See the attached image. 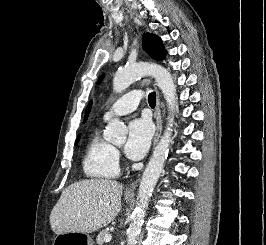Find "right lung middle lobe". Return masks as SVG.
<instances>
[{
    "label": "right lung middle lobe",
    "mask_w": 266,
    "mask_h": 245,
    "mask_svg": "<svg viewBox=\"0 0 266 245\" xmlns=\"http://www.w3.org/2000/svg\"><path fill=\"white\" fill-rule=\"evenodd\" d=\"M79 138H80V135H78L75 145H77V143L79 142Z\"/></svg>",
    "instance_id": "dd1d6c3e"
}]
</instances>
